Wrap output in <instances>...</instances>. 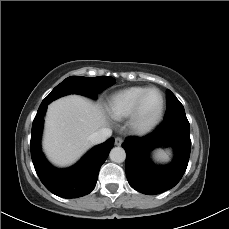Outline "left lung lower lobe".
<instances>
[{
  "label": "left lung lower lobe",
  "mask_w": 229,
  "mask_h": 229,
  "mask_svg": "<svg viewBox=\"0 0 229 229\" xmlns=\"http://www.w3.org/2000/svg\"><path fill=\"white\" fill-rule=\"evenodd\" d=\"M171 145L175 157L166 166L152 163L149 152L159 146ZM122 147L126 151V176L132 188L152 195L173 188L184 175L191 151L190 125L186 116L164 120L154 132L144 137H129Z\"/></svg>",
  "instance_id": "obj_1"
}]
</instances>
